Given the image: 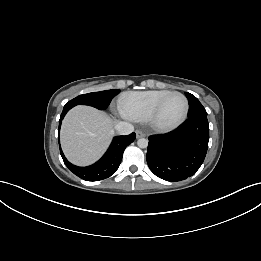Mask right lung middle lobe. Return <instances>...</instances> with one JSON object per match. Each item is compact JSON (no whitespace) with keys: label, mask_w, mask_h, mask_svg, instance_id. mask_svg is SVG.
Returning <instances> with one entry per match:
<instances>
[{"label":"right lung middle lobe","mask_w":261,"mask_h":261,"mask_svg":"<svg viewBox=\"0 0 261 261\" xmlns=\"http://www.w3.org/2000/svg\"><path fill=\"white\" fill-rule=\"evenodd\" d=\"M119 93V89L105 90L79 95L70 100L64 107H74L76 105H89L100 110L108 107L111 100Z\"/></svg>","instance_id":"dd1d6c3e"}]
</instances>
